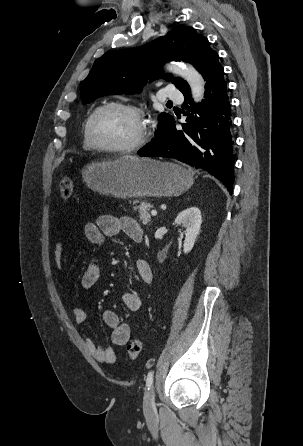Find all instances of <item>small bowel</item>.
I'll use <instances>...</instances> for the list:
<instances>
[{
  "mask_svg": "<svg viewBox=\"0 0 303 446\" xmlns=\"http://www.w3.org/2000/svg\"><path fill=\"white\" fill-rule=\"evenodd\" d=\"M84 235L88 243L100 246L106 238H114L125 235L129 239L140 242L143 231L138 222L130 217H115L112 215H102L95 223H88L84 228ZM65 249V241H59L54 250L55 263L62 269V257ZM136 271L139 279L145 283H151L153 274L149 263L144 259L136 261ZM100 278V268L96 260H91L81 277V284L85 289L95 287ZM124 306L130 312H137L141 309L142 300L137 291L131 290L123 294ZM75 323L82 325L86 320L85 312L79 308H73ZM105 325L111 329L112 342L117 346L125 345L130 339L131 328L127 322L121 320L120 316L112 310L103 313ZM86 347L92 356L101 363L114 364L117 360L116 351L111 348H101L92 339H87Z\"/></svg>",
  "mask_w": 303,
  "mask_h": 446,
  "instance_id": "obj_1",
  "label": "small bowel"
}]
</instances>
